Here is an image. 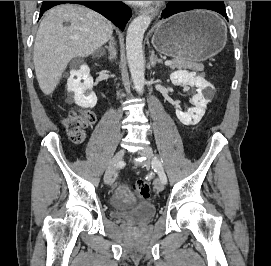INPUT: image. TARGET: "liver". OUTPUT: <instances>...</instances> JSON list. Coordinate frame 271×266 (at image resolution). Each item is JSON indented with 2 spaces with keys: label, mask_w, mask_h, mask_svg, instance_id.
Instances as JSON below:
<instances>
[{
  "label": "liver",
  "mask_w": 271,
  "mask_h": 266,
  "mask_svg": "<svg viewBox=\"0 0 271 266\" xmlns=\"http://www.w3.org/2000/svg\"><path fill=\"white\" fill-rule=\"evenodd\" d=\"M112 33V23L89 8L64 4L49 10L39 26L33 55L42 92L52 94L68 63L91 55L110 40Z\"/></svg>",
  "instance_id": "1"
}]
</instances>
